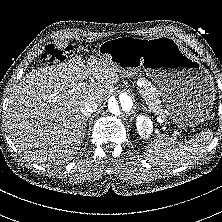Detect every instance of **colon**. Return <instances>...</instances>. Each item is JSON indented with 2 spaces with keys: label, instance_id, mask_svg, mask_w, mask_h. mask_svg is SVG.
Instances as JSON below:
<instances>
[{
  "label": "colon",
  "instance_id": "1",
  "mask_svg": "<svg viewBox=\"0 0 222 222\" xmlns=\"http://www.w3.org/2000/svg\"><path fill=\"white\" fill-rule=\"evenodd\" d=\"M67 49H59L52 45L46 47L43 55L42 60L45 63H55L57 61H61L65 58V54Z\"/></svg>",
  "mask_w": 222,
  "mask_h": 222
}]
</instances>
